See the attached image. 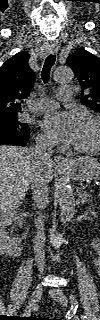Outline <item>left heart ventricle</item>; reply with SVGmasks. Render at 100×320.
<instances>
[{"instance_id": "obj_1", "label": "left heart ventricle", "mask_w": 100, "mask_h": 320, "mask_svg": "<svg viewBox=\"0 0 100 320\" xmlns=\"http://www.w3.org/2000/svg\"><path fill=\"white\" fill-rule=\"evenodd\" d=\"M96 140V129L93 124L82 122L80 123L78 136L74 146L89 147L94 144Z\"/></svg>"}]
</instances>
